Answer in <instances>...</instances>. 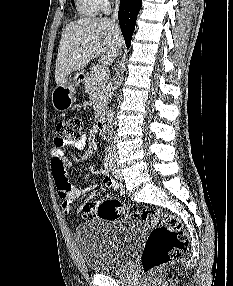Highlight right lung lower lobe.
<instances>
[{
  "instance_id": "98d812e1",
  "label": "right lung lower lobe",
  "mask_w": 233,
  "mask_h": 286,
  "mask_svg": "<svg viewBox=\"0 0 233 286\" xmlns=\"http://www.w3.org/2000/svg\"><path fill=\"white\" fill-rule=\"evenodd\" d=\"M142 0H121L118 19L127 48L130 47L136 18L140 11Z\"/></svg>"
}]
</instances>
